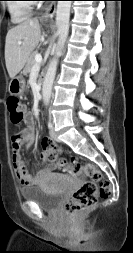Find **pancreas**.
<instances>
[{"label": "pancreas", "instance_id": "cf45deb5", "mask_svg": "<svg viewBox=\"0 0 133 253\" xmlns=\"http://www.w3.org/2000/svg\"><path fill=\"white\" fill-rule=\"evenodd\" d=\"M36 54H37L36 52H32L29 55V58H28L27 63L25 65V67H24V70H23L24 75H28L31 72L33 66L36 63V61H35Z\"/></svg>", "mask_w": 133, "mask_h": 253}]
</instances>
